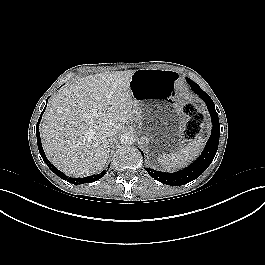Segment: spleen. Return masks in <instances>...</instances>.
Segmentation results:
<instances>
[{"label": "spleen", "instance_id": "1", "mask_svg": "<svg viewBox=\"0 0 265 265\" xmlns=\"http://www.w3.org/2000/svg\"><path fill=\"white\" fill-rule=\"evenodd\" d=\"M204 146L201 137H195L187 146L180 147L177 151L170 154H163L158 157V162L166 169L171 170L181 168L193 158L198 156Z\"/></svg>", "mask_w": 265, "mask_h": 265}]
</instances>
